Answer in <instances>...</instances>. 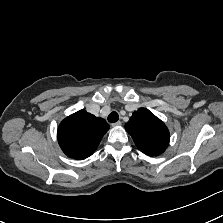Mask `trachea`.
Listing matches in <instances>:
<instances>
[{
	"instance_id": "1",
	"label": "trachea",
	"mask_w": 223,
	"mask_h": 223,
	"mask_svg": "<svg viewBox=\"0 0 223 223\" xmlns=\"http://www.w3.org/2000/svg\"><path fill=\"white\" fill-rule=\"evenodd\" d=\"M107 119L110 123L117 122L119 119L118 113L115 111L111 112Z\"/></svg>"
}]
</instances>
